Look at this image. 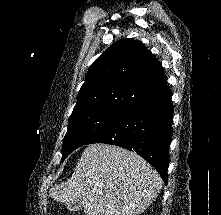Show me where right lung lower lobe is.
<instances>
[{"label": "right lung lower lobe", "instance_id": "98d812e1", "mask_svg": "<svg viewBox=\"0 0 221 215\" xmlns=\"http://www.w3.org/2000/svg\"><path fill=\"white\" fill-rule=\"evenodd\" d=\"M172 119L171 92L166 84L158 93L121 115L86 144L106 143L136 152L148 161L167 183Z\"/></svg>", "mask_w": 221, "mask_h": 215}]
</instances>
